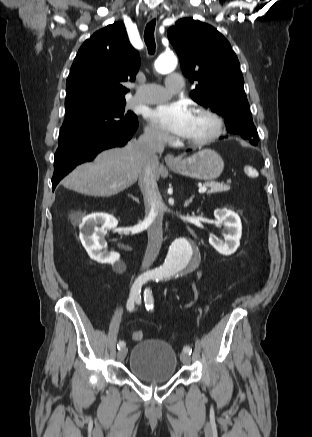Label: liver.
I'll use <instances>...</instances> for the list:
<instances>
[{
  "mask_svg": "<svg viewBox=\"0 0 312 437\" xmlns=\"http://www.w3.org/2000/svg\"><path fill=\"white\" fill-rule=\"evenodd\" d=\"M144 160L138 141L132 140L122 148L101 152L93 162L77 166L62 180L65 188L94 196L109 197L132 186L143 173ZM159 179V162L155 169Z\"/></svg>",
  "mask_w": 312,
  "mask_h": 437,
  "instance_id": "1",
  "label": "liver"
}]
</instances>
